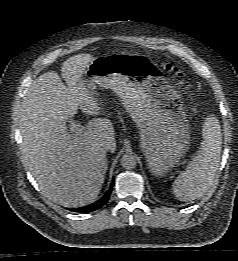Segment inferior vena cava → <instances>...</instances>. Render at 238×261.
<instances>
[{
    "mask_svg": "<svg viewBox=\"0 0 238 261\" xmlns=\"http://www.w3.org/2000/svg\"><path fill=\"white\" fill-rule=\"evenodd\" d=\"M101 149L104 151V152H107L110 150V145L107 144V143H104L101 147Z\"/></svg>",
    "mask_w": 238,
    "mask_h": 261,
    "instance_id": "obj_1",
    "label": "inferior vena cava"
}]
</instances>
